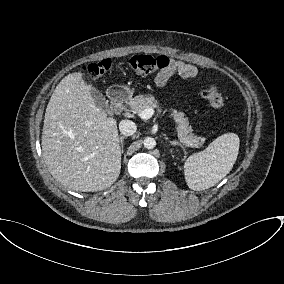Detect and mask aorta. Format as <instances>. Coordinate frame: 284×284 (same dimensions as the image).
Wrapping results in <instances>:
<instances>
[{
	"label": "aorta",
	"mask_w": 284,
	"mask_h": 284,
	"mask_svg": "<svg viewBox=\"0 0 284 284\" xmlns=\"http://www.w3.org/2000/svg\"><path fill=\"white\" fill-rule=\"evenodd\" d=\"M143 144L146 149H153L156 146V141L152 137H146Z\"/></svg>",
	"instance_id": "aorta-1"
}]
</instances>
